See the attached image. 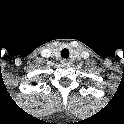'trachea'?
<instances>
[{
  "label": "trachea",
  "mask_w": 124,
  "mask_h": 124,
  "mask_svg": "<svg viewBox=\"0 0 124 124\" xmlns=\"http://www.w3.org/2000/svg\"><path fill=\"white\" fill-rule=\"evenodd\" d=\"M61 57L67 59V58L69 57V50L66 49V48H64V49L61 51Z\"/></svg>",
  "instance_id": "trachea-1"
}]
</instances>
